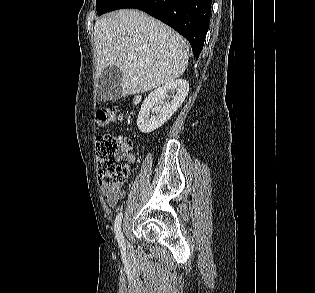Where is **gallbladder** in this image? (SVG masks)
Listing matches in <instances>:
<instances>
[{"mask_svg":"<svg viewBox=\"0 0 315 293\" xmlns=\"http://www.w3.org/2000/svg\"><path fill=\"white\" fill-rule=\"evenodd\" d=\"M122 72L119 67L109 65L99 77L101 100H117L121 97Z\"/></svg>","mask_w":315,"mask_h":293,"instance_id":"1","label":"gallbladder"}]
</instances>
